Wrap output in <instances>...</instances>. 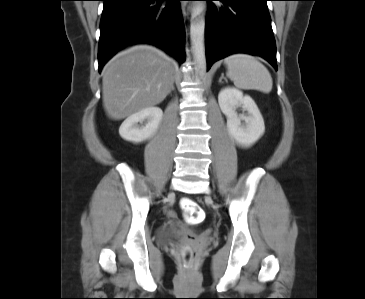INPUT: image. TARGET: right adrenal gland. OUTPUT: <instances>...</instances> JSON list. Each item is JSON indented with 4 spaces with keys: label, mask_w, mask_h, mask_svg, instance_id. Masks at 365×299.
Wrapping results in <instances>:
<instances>
[{
    "label": "right adrenal gland",
    "mask_w": 365,
    "mask_h": 299,
    "mask_svg": "<svg viewBox=\"0 0 365 299\" xmlns=\"http://www.w3.org/2000/svg\"><path fill=\"white\" fill-rule=\"evenodd\" d=\"M173 83H174V78H173ZM174 89H175V88H174V85H173L171 90H172V91H174Z\"/></svg>",
    "instance_id": "right-adrenal-gland-1"
}]
</instances>
